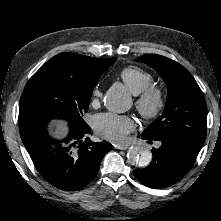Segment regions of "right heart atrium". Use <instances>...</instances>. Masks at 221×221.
Listing matches in <instances>:
<instances>
[{"label": "right heart atrium", "mask_w": 221, "mask_h": 221, "mask_svg": "<svg viewBox=\"0 0 221 221\" xmlns=\"http://www.w3.org/2000/svg\"><path fill=\"white\" fill-rule=\"evenodd\" d=\"M101 97V90L99 84H96L92 90V101L96 102Z\"/></svg>", "instance_id": "d8ad5b80"}]
</instances>
